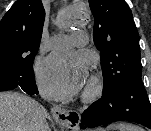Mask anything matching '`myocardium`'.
I'll return each mask as SVG.
<instances>
[{
    "label": "myocardium",
    "mask_w": 151,
    "mask_h": 131,
    "mask_svg": "<svg viewBox=\"0 0 151 131\" xmlns=\"http://www.w3.org/2000/svg\"><path fill=\"white\" fill-rule=\"evenodd\" d=\"M103 92V81L99 76H93L85 88L82 98L84 101H92Z\"/></svg>",
    "instance_id": "f54148a6"
}]
</instances>
